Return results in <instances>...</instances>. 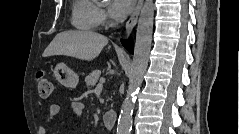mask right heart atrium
<instances>
[{
	"label": "right heart atrium",
	"instance_id": "d8ad5b80",
	"mask_svg": "<svg viewBox=\"0 0 239 134\" xmlns=\"http://www.w3.org/2000/svg\"><path fill=\"white\" fill-rule=\"evenodd\" d=\"M106 20V12L103 8L98 9V22L104 23Z\"/></svg>",
	"mask_w": 239,
	"mask_h": 134
}]
</instances>
